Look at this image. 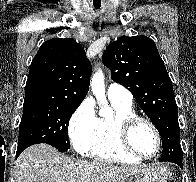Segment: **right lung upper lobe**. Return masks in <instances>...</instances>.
I'll list each match as a JSON object with an SVG mask.
<instances>
[{
  "instance_id": "obj_1",
  "label": "right lung upper lobe",
  "mask_w": 196,
  "mask_h": 182,
  "mask_svg": "<svg viewBox=\"0 0 196 182\" xmlns=\"http://www.w3.org/2000/svg\"><path fill=\"white\" fill-rule=\"evenodd\" d=\"M91 76V63L74 39L44 42L32 60L23 108L80 105Z\"/></svg>"
}]
</instances>
